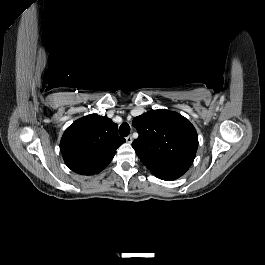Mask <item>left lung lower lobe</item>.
I'll list each match as a JSON object with an SVG mask.
<instances>
[{
	"label": "left lung lower lobe",
	"mask_w": 265,
	"mask_h": 265,
	"mask_svg": "<svg viewBox=\"0 0 265 265\" xmlns=\"http://www.w3.org/2000/svg\"><path fill=\"white\" fill-rule=\"evenodd\" d=\"M192 163V161L178 162L164 167H154L150 171L162 180L172 181L181 177L190 168Z\"/></svg>",
	"instance_id": "obj_1"
}]
</instances>
